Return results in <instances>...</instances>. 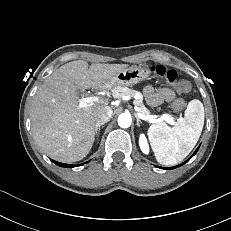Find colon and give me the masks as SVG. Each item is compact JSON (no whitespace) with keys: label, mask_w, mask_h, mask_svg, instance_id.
I'll use <instances>...</instances> for the list:
<instances>
[{"label":"colon","mask_w":231,"mask_h":231,"mask_svg":"<svg viewBox=\"0 0 231 231\" xmlns=\"http://www.w3.org/2000/svg\"><path fill=\"white\" fill-rule=\"evenodd\" d=\"M152 72L162 78L179 93H187L191 89V83L186 79L179 78L177 72L167 69L162 65L153 66ZM186 106V101L182 98L176 99L171 108L174 112L182 111Z\"/></svg>","instance_id":"5ec220e1"}]
</instances>
